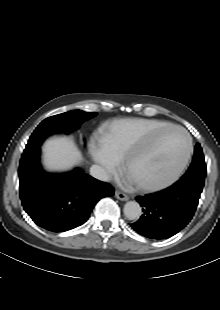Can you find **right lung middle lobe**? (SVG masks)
I'll return each instance as SVG.
<instances>
[{"label":"right lung middle lobe","instance_id":"dd1d6c3e","mask_svg":"<svg viewBox=\"0 0 220 310\" xmlns=\"http://www.w3.org/2000/svg\"><path fill=\"white\" fill-rule=\"evenodd\" d=\"M96 115V112H84L81 110H74L49 117L42 121L32 133L26 149H34L40 147L45 137L52 133H69L73 129L78 128L80 124L95 117Z\"/></svg>","mask_w":220,"mask_h":310}]
</instances>
